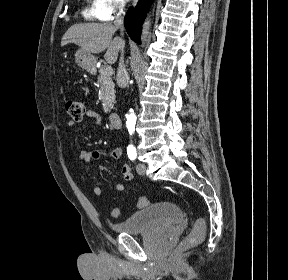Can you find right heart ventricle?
I'll return each mask as SVG.
<instances>
[{"instance_id":"obj_1","label":"right heart ventricle","mask_w":288,"mask_h":280,"mask_svg":"<svg viewBox=\"0 0 288 280\" xmlns=\"http://www.w3.org/2000/svg\"><path fill=\"white\" fill-rule=\"evenodd\" d=\"M97 0H86L82 15L87 19H98L96 14Z\"/></svg>"}]
</instances>
